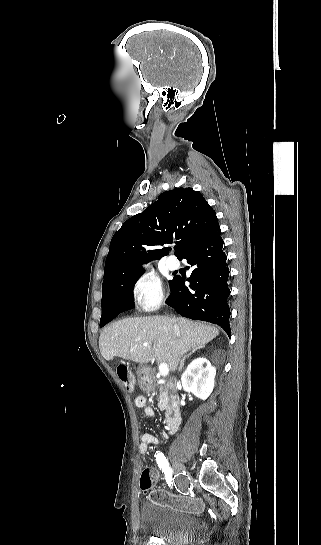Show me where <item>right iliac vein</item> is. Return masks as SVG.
Wrapping results in <instances>:
<instances>
[{"mask_svg":"<svg viewBox=\"0 0 321 545\" xmlns=\"http://www.w3.org/2000/svg\"><path fill=\"white\" fill-rule=\"evenodd\" d=\"M173 468L175 469L176 472H182L183 474L186 473L184 466L177 461L173 463Z\"/></svg>","mask_w":321,"mask_h":545,"instance_id":"63e3f726","label":"right iliac vein"}]
</instances>
